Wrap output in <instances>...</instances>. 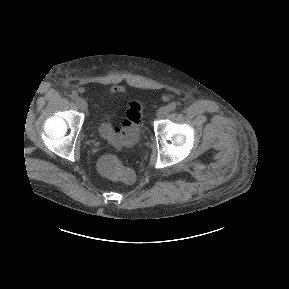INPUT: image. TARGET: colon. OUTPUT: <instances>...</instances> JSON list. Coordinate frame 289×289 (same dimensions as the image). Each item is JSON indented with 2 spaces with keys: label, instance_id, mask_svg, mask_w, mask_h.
Returning <instances> with one entry per match:
<instances>
[{
  "label": "colon",
  "instance_id": "colon-1",
  "mask_svg": "<svg viewBox=\"0 0 289 289\" xmlns=\"http://www.w3.org/2000/svg\"><path fill=\"white\" fill-rule=\"evenodd\" d=\"M143 106L139 101L129 103L120 127L112 128L105 125L102 133L114 144H124L136 137L142 121ZM98 168L102 175L109 179L132 182L133 174L124 169L120 159L112 153L102 155L98 161Z\"/></svg>",
  "mask_w": 289,
  "mask_h": 289
}]
</instances>
